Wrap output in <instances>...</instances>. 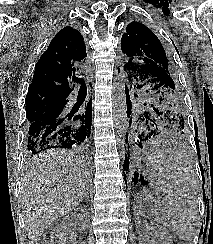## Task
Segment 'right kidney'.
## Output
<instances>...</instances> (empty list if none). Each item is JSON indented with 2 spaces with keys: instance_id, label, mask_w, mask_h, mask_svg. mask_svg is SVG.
<instances>
[{
  "instance_id": "right-kidney-1",
  "label": "right kidney",
  "mask_w": 213,
  "mask_h": 244,
  "mask_svg": "<svg viewBox=\"0 0 213 244\" xmlns=\"http://www.w3.org/2000/svg\"><path fill=\"white\" fill-rule=\"evenodd\" d=\"M72 218L74 219L75 223H77L82 228H85L86 225V218L87 212L84 209H77L74 213H72Z\"/></svg>"
}]
</instances>
